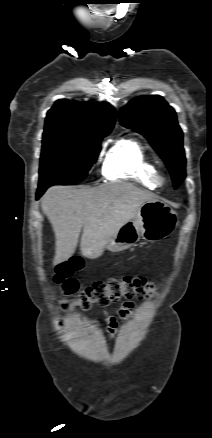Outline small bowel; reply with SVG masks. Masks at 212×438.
<instances>
[{
  "mask_svg": "<svg viewBox=\"0 0 212 438\" xmlns=\"http://www.w3.org/2000/svg\"><path fill=\"white\" fill-rule=\"evenodd\" d=\"M133 309V304L131 302H126L122 309L120 310V313L122 315L123 318H126L130 315L131 311ZM107 323L109 326V331L113 334L118 330V322L116 321V319L114 317H109L107 319Z\"/></svg>",
  "mask_w": 212,
  "mask_h": 438,
  "instance_id": "obj_1",
  "label": "small bowel"
}]
</instances>
